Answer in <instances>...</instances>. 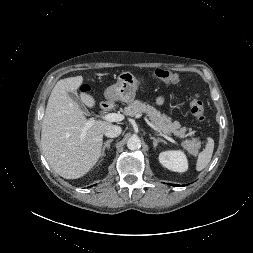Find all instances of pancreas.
<instances>
[{
  "mask_svg": "<svg viewBox=\"0 0 253 253\" xmlns=\"http://www.w3.org/2000/svg\"><path fill=\"white\" fill-rule=\"evenodd\" d=\"M141 113H145L149 117L152 124L159 132L164 134L174 133L181 138L185 137L186 128H180V124L178 122H172L169 116L162 114L155 107L145 102L135 100L129 103V105L124 109V114L131 117ZM183 146L189 154L196 155L200 147V141L195 138L192 140H186L183 143Z\"/></svg>",
  "mask_w": 253,
  "mask_h": 253,
  "instance_id": "cf45deb5",
  "label": "pancreas"
}]
</instances>
